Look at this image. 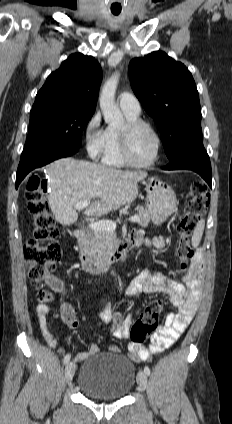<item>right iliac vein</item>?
<instances>
[{
  "label": "right iliac vein",
  "mask_w": 232,
  "mask_h": 424,
  "mask_svg": "<svg viewBox=\"0 0 232 424\" xmlns=\"http://www.w3.org/2000/svg\"><path fill=\"white\" fill-rule=\"evenodd\" d=\"M76 365L74 362H69L65 368V380L67 383L71 382L75 373Z\"/></svg>",
  "instance_id": "1"
}]
</instances>
